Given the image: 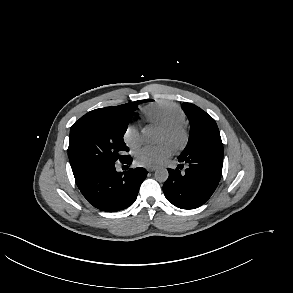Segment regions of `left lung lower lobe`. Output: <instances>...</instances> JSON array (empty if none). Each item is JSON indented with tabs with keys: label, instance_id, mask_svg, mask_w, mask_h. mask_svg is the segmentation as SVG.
<instances>
[{
	"label": "left lung lower lobe",
	"instance_id": "1",
	"mask_svg": "<svg viewBox=\"0 0 293 293\" xmlns=\"http://www.w3.org/2000/svg\"><path fill=\"white\" fill-rule=\"evenodd\" d=\"M183 165L169 169V177L163 185L167 200L181 209H194L203 205L213 194L221 178L223 158L199 152L178 157Z\"/></svg>",
	"mask_w": 293,
	"mask_h": 293
}]
</instances>
